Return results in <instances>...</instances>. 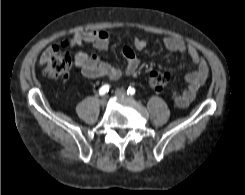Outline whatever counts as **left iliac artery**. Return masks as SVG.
<instances>
[{"instance_id": "obj_1", "label": "left iliac artery", "mask_w": 245, "mask_h": 195, "mask_svg": "<svg viewBox=\"0 0 245 195\" xmlns=\"http://www.w3.org/2000/svg\"><path fill=\"white\" fill-rule=\"evenodd\" d=\"M128 95H134L135 94V89L133 87H129L127 90Z\"/></svg>"}]
</instances>
